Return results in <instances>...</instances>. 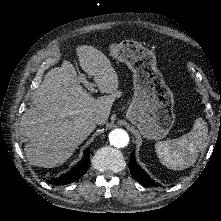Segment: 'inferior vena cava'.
<instances>
[{
  "label": "inferior vena cava",
  "instance_id": "1",
  "mask_svg": "<svg viewBox=\"0 0 221 221\" xmlns=\"http://www.w3.org/2000/svg\"><path fill=\"white\" fill-rule=\"evenodd\" d=\"M88 120L92 125H95L99 120V115L98 114H92V115L89 116Z\"/></svg>",
  "mask_w": 221,
  "mask_h": 221
}]
</instances>
